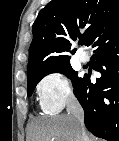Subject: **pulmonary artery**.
<instances>
[{
	"mask_svg": "<svg viewBox=\"0 0 119 141\" xmlns=\"http://www.w3.org/2000/svg\"><path fill=\"white\" fill-rule=\"evenodd\" d=\"M79 60L82 63H87L89 61V55L86 52L83 51L79 54Z\"/></svg>",
	"mask_w": 119,
	"mask_h": 141,
	"instance_id": "e3ab8cb5",
	"label": "pulmonary artery"
}]
</instances>
